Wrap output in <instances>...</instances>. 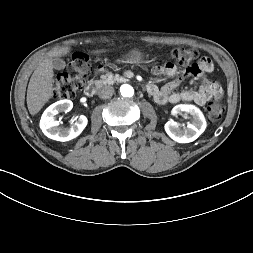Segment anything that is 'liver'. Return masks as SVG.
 I'll list each match as a JSON object with an SVG mask.
<instances>
[{"mask_svg": "<svg viewBox=\"0 0 253 253\" xmlns=\"http://www.w3.org/2000/svg\"><path fill=\"white\" fill-rule=\"evenodd\" d=\"M70 50L66 46L51 51L33 72L27 89V107L31 115L37 114L53 95L52 58L67 55Z\"/></svg>", "mask_w": 253, "mask_h": 253, "instance_id": "obj_1", "label": "liver"}]
</instances>
